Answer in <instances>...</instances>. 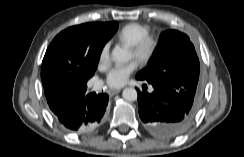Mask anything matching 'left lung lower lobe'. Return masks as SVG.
<instances>
[{
    "label": "left lung lower lobe",
    "mask_w": 244,
    "mask_h": 157,
    "mask_svg": "<svg viewBox=\"0 0 244 157\" xmlns=\"http://www.w3.org/2000/svg\"><path fill=\"white\" fill-rule=\"evenodd\" d=\"M152 93L138 92L139 116L145 128L160 138H174L182 134L192 122L195 111L190 104H182L157 84Z\"/></svg>",
    "instance_id": "0a47b994"
}]
</instances>
